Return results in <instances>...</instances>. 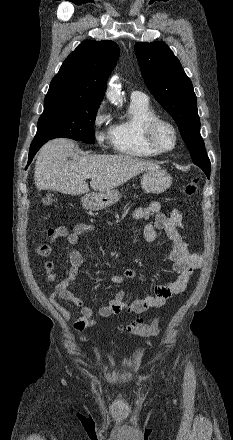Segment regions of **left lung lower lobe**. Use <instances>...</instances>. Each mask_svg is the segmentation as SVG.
I'll list each match as a JSON object with an SVG mask.
<instances>
[{"label":"left lung lower lobe","mask_w":233,"mask_h":440,"mask_svg":"<svg viewBox=\"0 0 233 440\" xmlns=\"http://www.w3.org/2000/svg\"><path fill=\"white\" fill-rule=\"evenodd\" d=\"M204 172H205V174H206V176L208 177V179H209V177H210V169H211V165H210V162H207V163H199V164H197Z\"/></svg>","instance_id":"obj_1"}]
</instances>
